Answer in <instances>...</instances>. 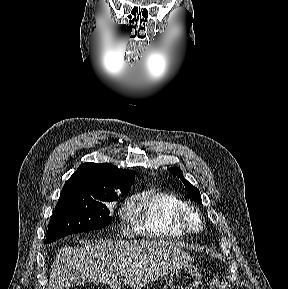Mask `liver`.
Wrapping results in <instances>:
<instances>
[{"label": "liver", "mask_w": 288, "mask_h": 289, "mask_svg": "<svg viewBox=\"0 0 288 289\" xmlns=\"http://www.w3.org/2000/svg\"><path fill=\"white\" fill-rule=\"evenodd\" d=\"M181 248L164 241H98L62 247L53 264L48 289H69L70 274L88 282L141 289L158 278L192 262Z\"/></svg>", "instance_id": "liver-1"}]
</instances>
